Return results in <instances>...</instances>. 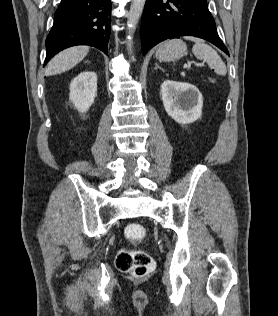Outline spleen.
Masks as SVG:
<instances>
[{
	"label": "spleen",
	"instance_id": "1",
	"mask_svg": "<svg viewBox=\"0 0 278 316\" xmlns=\"http://www.w3.org/2000/svg\"><path fill=\"white\" fill-rule=\"evenodd\" d=\"M184 39L195 42V45L192 48V52L197 59L206 61L209 67L211 69H214L217 74L226 75V65L212 47L207 45L204 41L195 37L185 36Z\"/></svg>",
	"mask_w": 278,
	"mask_h": 316
}]
</instances>
